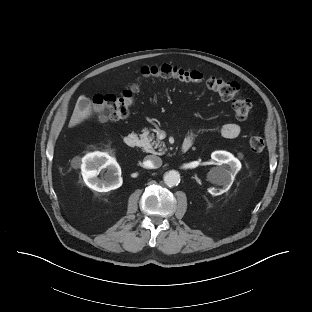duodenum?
Wrapping results in <instances>:
<instances>
[{
  "instance_id": "1",
  "label": "duodenum",
  "mask_w": 312,
  "mask_h": 312,
  "mask_svg": "<svg viewBox=\"0 0 312 312\" xmlns=\"http://www.w3.org/2000/svg\"><path fill=\"white\" fill-rule=\"evenodd\" d=\"M138 143H139V138L134 133H130L124 137V144L129 148L136 147ZM191 145H192L191 142L184 141L180 147V152L186 153L190 149Z\"/></svg>"
}]
</instances>
